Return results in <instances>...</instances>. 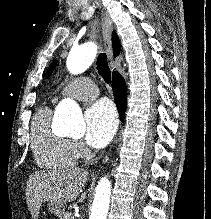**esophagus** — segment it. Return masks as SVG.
Masks as SVG:
<instances>
[{"instance_id":"obj_1","label":"esophagus","mask_w":211,"mask_h":219,"mask_svg":"<svg viewBox=\"0 0 211 219\" xmlns=\"http://www.w3.org/2000/svg\"><path fill=\"white\" fill-rule=\"evenodd\" d=\"M101 24H102V37L104 41V47L106 49V53L108 56V59L110 61L113 60V52H112V32H113V25L112 21L108 17L106 13H101ZM118 141V139L115 141V143ZM110 150L103 156L102 163L106 162L109 158Z\"/></svg>"}]
</instances>
